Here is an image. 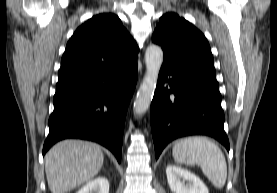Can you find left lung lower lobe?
Wrapping results in <instances>:
<instances>
[{"label":"left lung lower lobe","instance_id":"0a47b994","mask_svg":"<svg viewBox=\"0 0 277 193\" xmlns=\"http://www.w3.org/2000/svg\"><path fill=\"white\" fill-rule=\"evenodd\" d=\"M150 120L156 159L169 142L189 135L211 136L230 149L215 72L163 63Z\"/></svg>","mask_w":277,"mask_h":193}]
</instances>
